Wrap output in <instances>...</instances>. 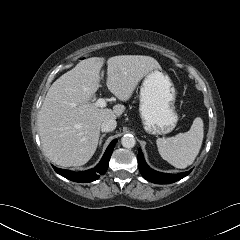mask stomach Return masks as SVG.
<instances>
[{
  "instance_id": "0dacf381",
  "label": "stomach",
  "mask_w": 240,
  "mask_h": 240,
  "mask_svg": "<svg viewBox=\"0 0 240 240\" xmlns=\"http://www.w3.org/2000/svg\"><path fill=\"white\" fill-rule=\"evenodd\" d=\"M139 98V112L147 133L164 135L176 127L178 114L175 110V87L161 68L145 76Z\"/></svg>"
}]
</instances>
